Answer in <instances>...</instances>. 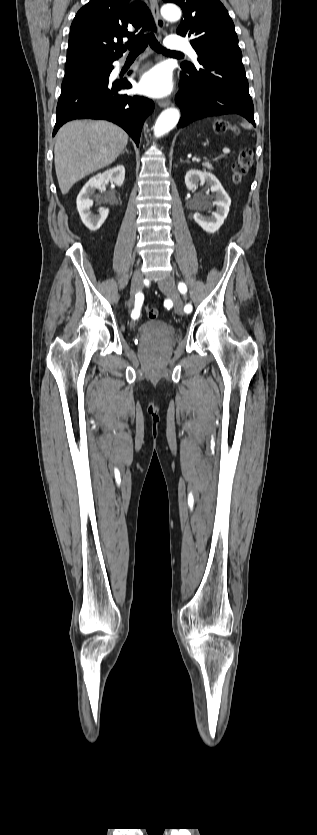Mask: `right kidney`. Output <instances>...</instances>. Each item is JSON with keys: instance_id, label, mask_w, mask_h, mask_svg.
<instances>
[{"instance_id": "ca27d5eb", "label": "right kidney", "mask_w": 317, "mask_h": 835, "mask_svg": "<svg viewBox=\"0 0 317 835\" xmlns=\"http://www.w3.org/2000/svg\"><path fill=\"white\" fill-rule=\"evenodd\" d=\"M125 179V168L123 165L116 166L110 170H106L102 174H97L89 179V181L83 186L81 191L77 196V210L79 212L80 218L83 224L91 231L98 230L101 225L106 220L109 209L102 208L99 212V215H94L91 213L90 207L92 205L91 196L94 194L95 189H100L102 186L107 184L109 181L114 183L117 186H122Z\"/></svg>"}]
</instances>
